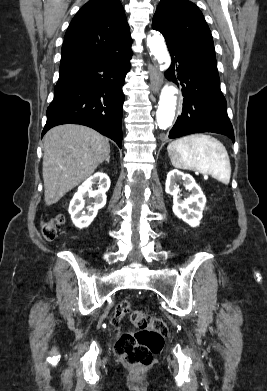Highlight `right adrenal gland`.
Wrapping results in <instances>:
<instances>
[{"instance_id": "1", "label": "right adrenal gland", "mask_w": 267, "mask_h": 391, "mask_svg": "<svg viewBox=\"0 0 267 391\" xmlns=\"http://www.w3.org/2000/svg\"><path fill=\"white\" fill-rule=\"evenodd\" d=\"M107 162L109 163V158H107Z\"/></svg>"}]
</instances>
